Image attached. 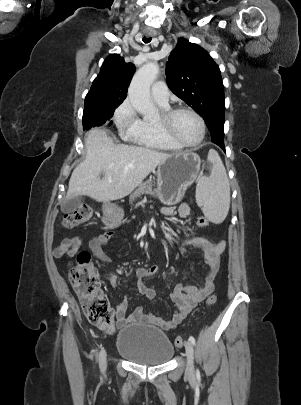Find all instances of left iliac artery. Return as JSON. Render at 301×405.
<instances>
[{
    "instance_id": "obj_1",
    "label": "left iliac artery",
    "mask_w": 301,
    "mask_h": 405,
    "mask_svg": "<svg viewBox=\"0 0 301 405\" xmlns=\"http://www.w3.org/2000/svg\"><path fill=\"white\" fill-rule=\"evenodd\" d=\"M189 341L193 344V345H195V338L193 337V336H190L189 337Z\"/></svg>"
}]
</instances>
